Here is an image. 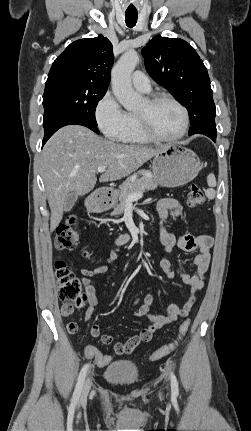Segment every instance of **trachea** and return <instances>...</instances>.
Here are the masks:
<instances>
[{"mask_svg": "<svg viewBox=\"0 0 251 431\" xmlns=\"http://www.w3.org/2000/svg\"><path fill=\"white\" fill-rule=\"evenodd\" d=\"M137 13H126L125 22L128 27H134L137 23Z\"/></svg>", "mask_w": 251, "mask_h": 431, "instance_id": "3493384b", "label": "trachea"}]
</instances>
